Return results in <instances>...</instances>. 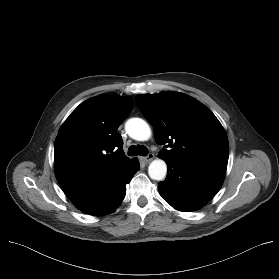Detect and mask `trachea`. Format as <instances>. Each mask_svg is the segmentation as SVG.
Instances as JSON below:
<instances>
[{
    "label": "trachea",
    "instance_id": "obj_1",
    "mask_svg": "<svg viewBox=\"0 0 279 279\" xmlns=\"http://www.w3.org/2000/svg\"><path fill=\"white\" fill-rule=\"evenodd\" d=\"M130 156H146L148 154V149L144 145H131L128 150Z\"/></svg>",
    "mask_w": 279,
    "mask_h": 279
}]
</instances>
